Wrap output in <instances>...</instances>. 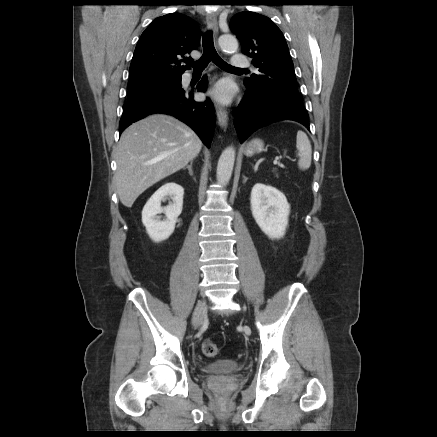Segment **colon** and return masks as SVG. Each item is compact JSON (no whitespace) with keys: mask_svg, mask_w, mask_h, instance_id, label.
Segmentation results:
<instances>
[{"mask_svg":"<svg viewBox=\"0 0 437 437\" xmlns=\"http://www.w3.org/2000/svg\"><path fill=\"white\" fill-rule=\"evenodd\" d=\"M202 353L204 356L214 358L218 355V346L211 340L207 339L202 344Z\"/></svg>","mask_w":437,"mask_h":437,"instance_id":"obj_1","label":"colon"}]
</instances>
